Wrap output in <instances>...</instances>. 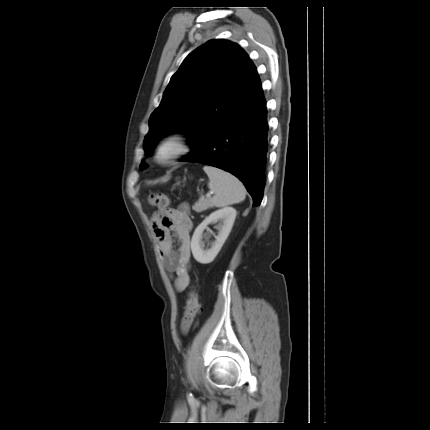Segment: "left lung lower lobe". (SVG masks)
Returning a JSON list of instances; mask_svg holds the SVG:
<instances>
[{
	"label": "left lung lower lobe",
	"instance_id": "1",
	"mask_svg": "<svg viewBox=\"0 0 430 430\" xmlns=\"http://www.w3.org/2000/svg\"><path fill=\"white\" fill-rule=\"evenodd\" d=\"M266 102L259 87L226 116L199 129L192 151L180 161L215 166L239 178L258 206L263 198L268 151Z\"/></svg>",
	"mask_w": 430,
	"mask_h": 430
}]
</instances>
